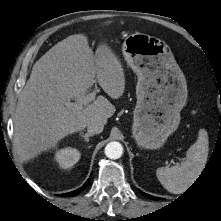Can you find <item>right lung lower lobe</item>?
Returning a JSON list of instances; mask_svg holds the SVG:
<instances>
[{"label": "right lung lower lobe", "instance_id": "obj_1", "mask_svg": "<svg viewBox=\"0 0 221 221\" xmlns=\"http://www.w3.org/2000/svg\"><path fill=\"white\" fill-rule=\"evenodd\" d=\"M89 183V180L82 186L80 187L79 189L75 190V191H72L70 193H66V194H61V196H68V197H71V196H74V195H77L79 194Z\"/></svg>", "mask_w": 221, "mask_h": 221}]
</instances>
